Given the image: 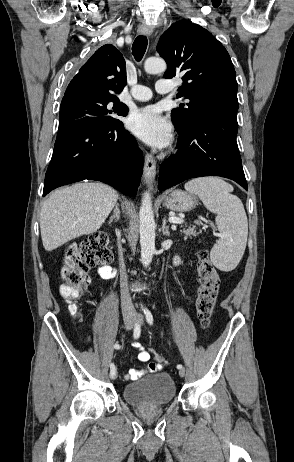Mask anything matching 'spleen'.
<instances>
[{
    "label": "spleen",
    "mask_w": 294,
    "mask_h": 462,
    "mask_svg": "<svg viewBox=\"0 0 294 462\" xmlns=\"http://www.w3.org/2000/svg\"><path fill=\"white\" fill-rule=\"evenodd\" d=\"M185 189L196 194L205 207L215 213L220 239L210 252L213 265L231 271L240 262L247 243L248 222L241 200L231 194L232 185L218 177H201L185 184Z\"/></svg>",
    "instance_id": "1"
}]
</instances>
